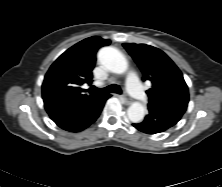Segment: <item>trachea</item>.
<instances>
[{
    "instance_id": "3493384b",
    "label": "trachea",
    "mask_w": 222,
    "mask_h": 187,
    "mask_svg": "<svg viewBox=\"0 0 222 187\" xmlns=\"http://www.w3.org/2000/svg\"><path fill=\"white\" fill-rule=\"evenodd\" d=\"M92 88L99 91V92H102V93L114 92V93H117V94H122L121 88L117 85H110V86H107L105 88H95V87H92Z\"/></svg>"
}]
</instances>
